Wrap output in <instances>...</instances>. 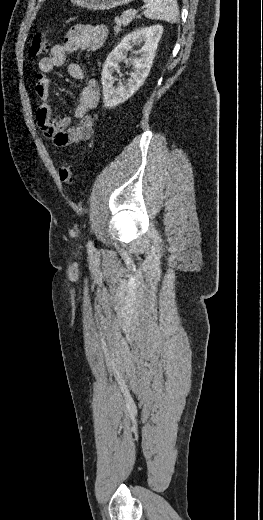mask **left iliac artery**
<instances>
[{
    "instance_id": "1",
    "label": "left iliac artery",
    "mask_w": 263,
    "mask_h": 520,
    "mask_svg": "<svg viewBox=\"0 0 263 520\" xmlns=\"http://www.w3.org/2000/svg\"><path fill=\"white\" fill-rule=\"evenodd\" d=\"M88 247H90V248L92 247V242L91 241L88 242Z\"/></svg>"
}]
</instances>
